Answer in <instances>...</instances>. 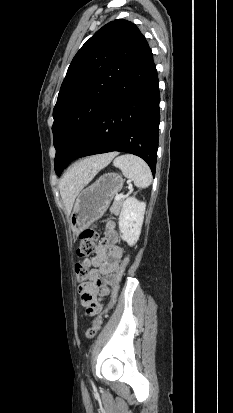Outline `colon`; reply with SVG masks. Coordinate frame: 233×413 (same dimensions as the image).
<instances>
[{
  "label": "colon",
  "instance_id": "5ec220e1",
  "mask_svg": "<svg viewBox=\"0 0 233 413\" xmlns=\"http://www.w3.org/2000/svg\"><path fill=\"white\" fill-rule=\"evenodd\" d=\"M99 237L100 235L95 225H92L84 229L80 234L81 243L77 249V255L80 258H88L94 255L97 250V241L99 240ZM128 263H129V258H126L121 264L119 273H118V278L113 286L112 297H111L109 306L107 309L97 314V316L92 322V325L87 329L85 335L88 339L93 338L98 333L103 323V317L106 316L107 312L114 304L116 296H117L118 288H119V285H118L119 280L121 279L123 273L125 272ZM75 271H76L78 281L82 283L88 281L92 273L90 266L87 264H83V263L76 264ZM89 307L90 309H94L91 307L90 304H89Z\"/></svg>",
  "mask_w": 233,
  "mask_h": 413
}]
</instances>
